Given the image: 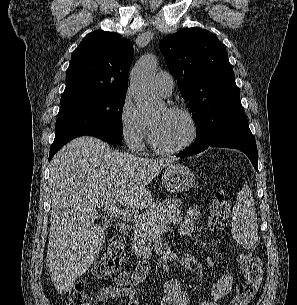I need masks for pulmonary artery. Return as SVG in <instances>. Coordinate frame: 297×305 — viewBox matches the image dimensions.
<instances>
[{
    "label": "pulmonary artery",
    "mask_w": 297,
    "mask_h": 305,
    "mask_svg": "<svg viewBox=\"0 0 297 305\" xmlns=\"http://www.w3.org/2000/svg\"><path fill=\"white\" fill-rule=\"evenodd\" d=\"M154 84L156 90L161 95L167 97L171 94L174 87L173 77L168 72L160 71L155 76Z\"/></svg>",
    "instance_id": "1"
}]
</instances>
